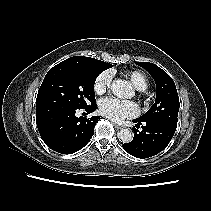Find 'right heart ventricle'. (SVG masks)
<instances>
[{
  "label": "right heart ventricle",
  "instance_id": "obj_1",
  "mask_svg": "<svg viewBox=\"0 0 211 211\" xmlns=\"http://www.w3.org/2000/svg\"><path fill=\"white\" fill-rule=\"evenodd\" d=\"M126 75L137 90L144 91L148 88L149 80L143 72L135 70L128 72Z\"/></svg>",
  "mask_w": 211,
  "mask_h": 211
}]
</instances>
